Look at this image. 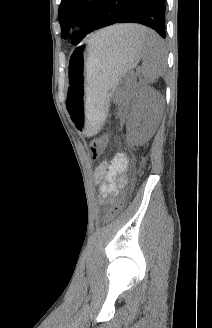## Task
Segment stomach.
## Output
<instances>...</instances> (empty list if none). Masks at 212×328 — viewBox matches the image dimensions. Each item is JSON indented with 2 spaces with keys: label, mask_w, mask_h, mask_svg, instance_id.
I'll return each instance as SVG.
<instances>
[{
  "label": "stomach",
  "mask_w": 212,
  "mask_h": 328,
  "mask_svg": "<svg viewBox=\"0 0 212 328\" xmlns=\"http://www.w3.org/2000/svg\"><path fill=\"white\" fill-rule=\"evenodd\" d=\"M136 43L135 39H90L70 56L66 106L80 133L91 136L100 129L110 91L141 58Z\"/></svg>",
  "instance_id": "0dacf381"
}]
</instances>
